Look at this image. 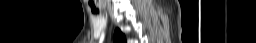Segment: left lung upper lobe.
Segmentation results:
<instances>
[{"label":"left lung upper lobe","instance_id":"obj_1","mask_svg":"<svg viewBox=\"0 0 256 43\" xmlns=\"http://www.w3.org/2000/svg\"><path fill=\"white\" fill-rule=\"evenodd\" d=\"M114 43H126L125 36L121 33L119 29H116L114 32Z\"/></svg>","mask_w":256,"mask_h":43}]
</instances>
